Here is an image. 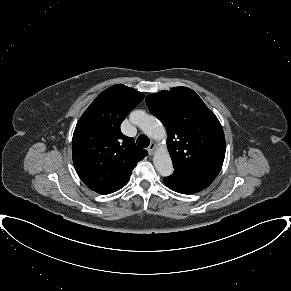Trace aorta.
I'll return each instance as SVG.
<instances>
[{
	"mask_svg": "<svg viewBox=\"0 0 291 291\" xmlns=\"http://www.w3.org/2000/svg\"><path fill=\"white\" fill-rule=\"evenodd\" d=\"M131 122L137 125L146 135L155 140H163L166 137V129L154 116L142 110L134 111L130 116ZM156 170L163 177L172 175L174 169L170 154L166 148H159L153 157Z\"/></svg>",
	"mask_w": 291,
	"mask_h": 291,
	"instance_id": "aorta-1",
	"label": "aorta"
}]
</instances>
